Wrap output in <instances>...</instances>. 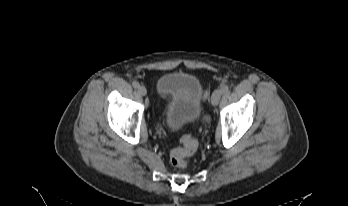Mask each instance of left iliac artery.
I'll use <instances>...</instances> for the list:
<instances>
[{"label":"left iliac artery","instance_id":"1","mask_svg":"<svg viewBox=\"0 0 348 206\" xmlns=\"http://www.w3.org/2000/svg\"><path fill=\"white\" fill-rule=\"evenodd\" d=\"M221 90H222V93H227L228 90H229V86L228 85H222L221 86Z\"/></svg>","mask_w":348,"mask_h":206}]
</instances>
